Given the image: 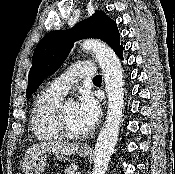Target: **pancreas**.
<instances>
[{
  "mask_svg": "<svg viewBox=\"0 0 175 174\" xmlns=\"http://www.w3.org/2000/svg\"><path fill=\"white\" fill-rule=\"evenodd\" d=\"M77 166L70 165L68 168L65 169V174H76Z\"/></svg>",
  "mask_w": 175,
  "mask_h": 174,
  "instance_id": "obj_1",
  "label": "pancreas"
}]
</instances>
